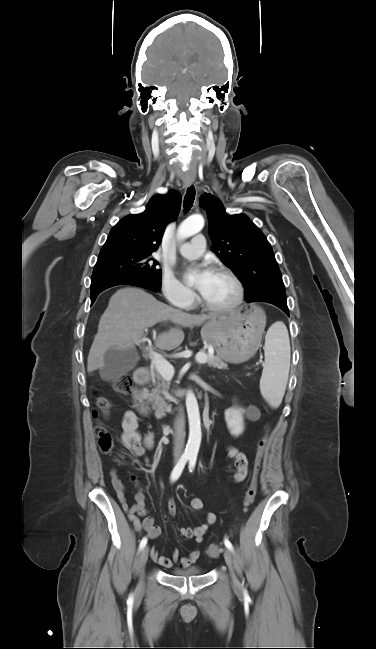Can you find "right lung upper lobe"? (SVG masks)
<instances>
[{
  "instance_id": "obj_1",
  "label": "right lung upper lobe",
  "mask_w": 376,
  "mask_h": 649,
  "mask_svg": "<svg viewBox=\"0 0 376 649\" xmlns=\"http://www.w3.org/2000/svg\"><path fill=\"white\" fill-rule=\"evenodd\" d=\"M180 207L181 195L177 191L153 196L143 213L124 217L111 229L100 254L154 252L167 224L177 218Z\"/></svg>"
}]
</instances>
